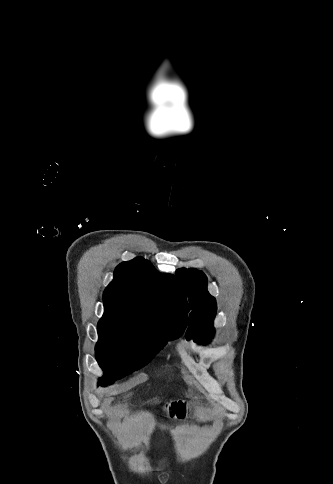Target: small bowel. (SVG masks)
I'll list each match as a JSON object with an SVG mask.
<instances>
[{
    "mask_svg": "<svg viewBox=\"0 0 333 484\" xmlns=\"http://www.w3.org/2000/svg\"><path fill=\"white\" fill-rule=\"evenodd\" d=\"M166 414L172 419H183L190 411V407L184 400H174L165 406Z\"/></svg>",
    "mask_w": 333,
    "mask_h": 484,
    "instance_id": "obj_1",
    "label": "small bowel"
}]
</instances>
